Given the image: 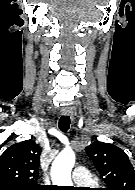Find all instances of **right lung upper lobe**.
I'll return each instance as SVG.
<instances>
[{
    "label": "right lung upper lobe",
    "mask_w": 135,
    "mask_h": 190,
    "mask_svg": "<svg viewBox=\"0 0 135 190\" xmlns=\"http://www.w3.org/2000/svg\"><path fill=\"white\" fill-rule=\"evenodd\" d=\"M41 148L32 140L8 147L0 157V190H36Z\"/></svg>",
    "instance_id": "right-lung-upper-lobe-1"
}]
</instances>
